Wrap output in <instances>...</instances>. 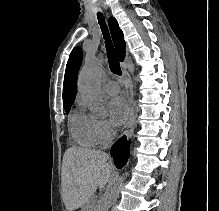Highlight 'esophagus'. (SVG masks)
Wrapping results in <instances>:
<instances>
[{
	"instance_id": "34e87169",
	"label": "esophagus",
	"mask_w": 219,
	"mask_h": 211,
	"mask_svg": "<svg viewBox=\"0 0 219 211\" xmlns=\"http://www.w3.org/2000/svg\"><path fill=\"white\" fill-rule=\"evenodd\" d=\"M124 81L126 88V98L129 108V120L127 123V129L125 131V135L127 139L131 138L132 132L134 130L135 124V106H134V91H133V83L131 76L127 70H124Z\"/></svg>"
}]
</instances>
